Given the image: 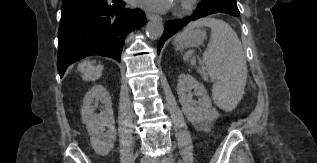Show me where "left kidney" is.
I'll use <instances>...</instances> for the list:
<instances>
[{
  "label": "left kidney",
  "mask_w": 317,
  "mask_h": 163,
  "mask_svg": "<svg viewBox=\"0 0 317 163\" xmlns=\"http://www.w3.org/2000/svg\"><path fill=\"white\" fill-rule=\"evenodd\" d=\"M192 89L199 97L198 101L192 99ZM177 93L186 118L196 129L209 132L219 113L212 107V101L205 87L191 75L182 73L178 78Z\"/></svg>",
  "instance_id": "5707ae66"
}]
</instances>
